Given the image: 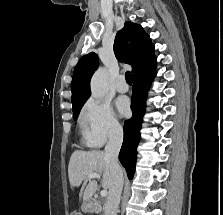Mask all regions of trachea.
I'll return each instance as SVG.
<instances>
[{
    "label": "trachea",
    "instance_id": "1",
    "mask_svg": "<svg viewBox=\"0 0 223 215\" xmlns=\"http://www.w3.org/2000/svg\"><path fill=\"white\" fill-rule=\"evenodd\" d=\"M125 78L127 83H132V76L130 72L125 73Z\"/></svg>",
    "mask_w": 223,
    "mask_h": 215
}]
</instances>
